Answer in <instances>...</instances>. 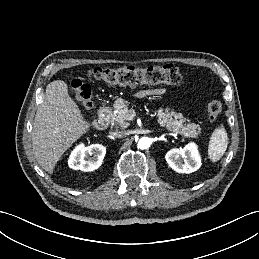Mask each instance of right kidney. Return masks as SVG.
Wrapping results in <instances>:
<instances>
[{
	"mask_svg": "<svg viewBox=\"0 0 259 259\" xmlns=\"http://www.w3.org/2000/svg\"><path fill=\"white\" fill-rule=\"evenodd\" d=\"M105 154L106 148L101 144H92L87 147L84 144H79L71 152L68 165L74 170L94 171L101 166Z\"/></svg>",
	"mask_w": 259,
	"mask_h": 259,
	"instance_id": "obj_1",
	"label": "right kidney"
}]
</instances>
